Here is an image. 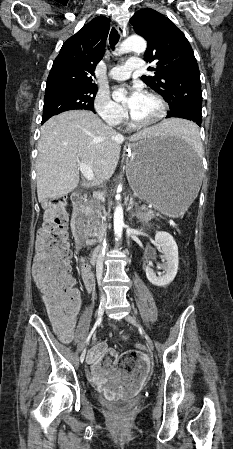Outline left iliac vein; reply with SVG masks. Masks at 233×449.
I'll return each instance as SVG.
<instances>
[{
  "mask_svg": "<svg viewBox=\"0 0 233 449\" xmlns=\"http://www.w3.org/2000/svg\"><path fill=\"white\" fill-rule=\"evenodd\" d=\"M125 320L128 321L129 323H131L132 325H134L136 327H139V324H138V322H137V320H136V318L134 316L128 314L125 317ZM142 333H143V336L145 337V340H146V343H147L149 349L153 350L154 349V343H153L151 337L145 331H142Z\"/></svg>",
  "mask_w": 233,
  "mask_h": 449,
  "instance_id": "4c4485c4",
  "label": "left iliac vein"
}]
</instances>
